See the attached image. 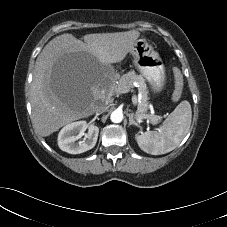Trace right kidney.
Returning a JSON list of instances; mask_svg holds the SVG:
<instances>
[{"instance_id": "right-kidney-1", "label": "right kidney", "mask_w": 227, "mask_h": 227, "mask_svg": "<svg viewBox=\"0 0 227 227\" xmlns=\"http://www.w3.org/2000/svg\"><path fill=\"white\" fill-rule=\"evenodd\" d=\"M88 129L87 133L85 131ZM99 128H88L86 121H77L63 127L58 134V146L62 151L70 154H80L92 149L98 138ZM85 135L83 141L76 142L79 136Z\"/></svg>"}]
</instances>
